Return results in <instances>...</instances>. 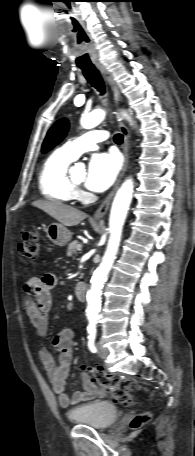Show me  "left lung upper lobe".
Wrapping results in <instances>:
<instances>
[{
	"mask_svg": "<svg viewBox=\"0 0 195 456\" xmlns=\"http://www.w3.org/2000/svg\"><path fill=\"white\" fill-rule=\"evenodd\" d=\"M69 128V122L63 118L58 120L52 128L48 131L47 136L42 144V152L46 153L51 150L54 146L59 144L65 137Z\"/></svg>",
	"mask_w": 195,
	"mask_h": 456,
	"instance_id": "left-lung-upper-lobe-1",
	"label": "left lung upper lobe"
}]
</instances>
